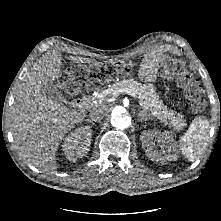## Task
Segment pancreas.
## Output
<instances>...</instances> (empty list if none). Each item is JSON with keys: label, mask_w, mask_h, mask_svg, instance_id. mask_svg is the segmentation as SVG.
Segmentation results:
<instances>
[{"label": "pancreas", "mask_w": 221, "mask_h": 221, "mask_svg": "<svg viewBox=\"0 0 221 221\" xmlns=\"http://www.w3.org/2000/svg\"><path fill=\"white\" fill-rule=\"evenodd\" d=\"M120 90L124 91L139 100V104L146 110L151 112V115L159 119L161 122L168 124L176 130H181L185 126L183 116L173 110L168 109L156 94L154 87L138 83L134 79H125L117 82L112 86L104 89L97 96V99L102 100L107 97L117 96Z\"/></svg>", "instance_id": "cf45deb5"}]
</instances>
